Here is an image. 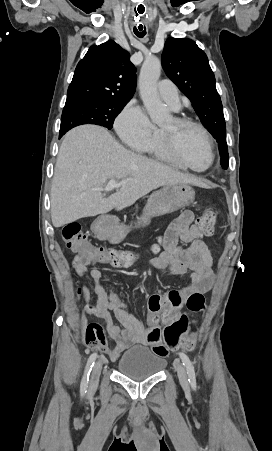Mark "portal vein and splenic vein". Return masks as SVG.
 Returning <instances> with one entry per match:
<instances>
[{
	"instance_id": "obj_1",
	"label": "portal vein and splenic vein",
	"mask_w": 272,
	"mask_h": 451,
	"mask_svg": "<svg viewBox=\"0 0 272 451\" xmlns=\"http://www.w3.org/2000/svg\"><path fill=\"white\" fill-rule=\"evenodd\" d=\"M125 182H127V180L120 182V184H116L115 180H110L105 188H99V190H101V192H110V190H113V188H119V186H121V184H125Z\"/></svg>"
}]
</instances>
